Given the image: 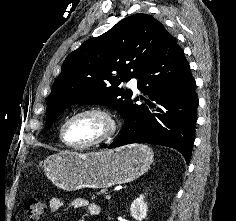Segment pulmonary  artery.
<instances>
[{
    "label": "pulmonary artery",
    "mask_w": 236,
    "mask_h": 221,
    "mask_svg": "<svg viewBox=\"0 0 236 221\" xmlns=\"http://www.w3.org/2000/svg\"><path fill=\"white\" fill-rule=\"evenodd\" d=\"M137 85H138V79L136 78H133L130 80L129 82V87L134 90V91H137Z\"/></svg>",
    "instance_id": "pulmonary-artery-1"
}]
</instances>
